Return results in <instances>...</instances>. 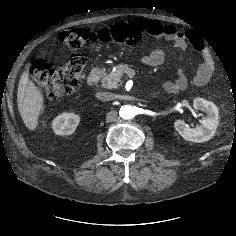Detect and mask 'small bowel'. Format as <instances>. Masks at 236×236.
<instances>
[{
  "label": "small bowel",
  "instance_id": "obj_1",
  "mask_svg": "<svg viewBox=\"0 0 236 236\" xmlns=\"http://www.w3.org/2000/svg\"><path fill=\"white\" fill-rule=\"evenodd\" d=\"M146 31L156 39L164 42H172L179 49H186L191 45L199 54L200 65L193 78L180 71L175 81H168L164 88L168 92H178L186 89L190 84L195 86L206 85L214 73V63L209 51L203 45L201 39L196 35H188L179 30L174 25H163L162 23L151 20L146 22ZM165 58V51L162 48L155 49L142 58V61L150 66L162 64Z\"/></svg>",
  "mask_w": 236,
  "mask_h": 236
}]
</instances>
